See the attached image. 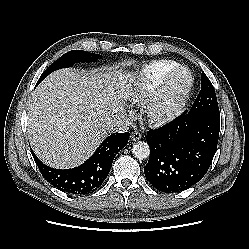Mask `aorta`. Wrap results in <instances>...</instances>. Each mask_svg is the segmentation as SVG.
<instances>
[{
  "label": "aorta",
  "instance_id": "1",
  "mask_svg": "<svg viewBox=\"0 0 249 249\" xmlns=\"http://www.w3.org/2000/svg\"><path fill=\"white\" fill-rule=\"evenodd\" d=\"M132 153L135 158L143 160L150 156V147L144 141H137L132 146Z\"/></svg>",
  "mask_w": 249,
  "mask_h": 249
}]
</instances>
